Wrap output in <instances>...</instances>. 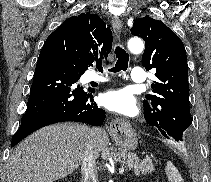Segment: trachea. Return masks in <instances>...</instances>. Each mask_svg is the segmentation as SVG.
I'll return each instance as SVG.
<instances>
[{"label":"trachea","instance_id":"3493384b","mask_svg":"<svg viewBox=\"0 0 211 182\" xmlns=\"http://www.w3.org/2000/svg\"><path fill=\"white\" fill-rule=\"evenodd\" d=\"M115 55H116V58H117V62L115 64V67L109 69V71L114 72V73L119 72L121 70L126 71L127 68H128V61H129V56L126 53V51L122 47L117 46L115 48ZM96 68L100 72L103 73L101 59H98L96 61Z\"/></svg>","mask_w":211,"mask_h":182}]
</instances>
